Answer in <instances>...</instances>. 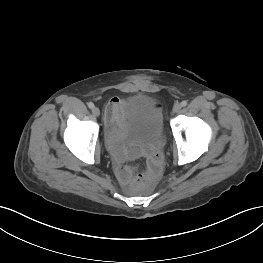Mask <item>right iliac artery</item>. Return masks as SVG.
<instances>
[{"mask_svg":"<svg viewBox=\"0 0 263 263\" xmlns=\"http://www.w3.org/2000/svg\"><path fill=\"white\" fill-rule=\"evenodd\" d=\"M88 107H89L90 109H93V108H94V104H93L92 102H89V103H88Z\"/></svg>","mask_w":263,"mask_h":263,"instance_id":"right-iliac-artery-1","label":"right iliac artery"}]
</instances>
